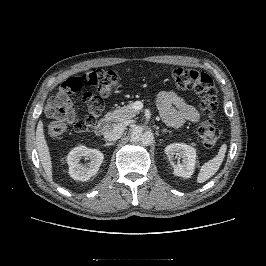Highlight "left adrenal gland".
<instances>
[{
  "label": "left adrenal gland",
  "instance_id": "obj_1",
  "mask_svg": "<svg viewBox=\"0 0 266 266\" xmlns=\"http://www.w3.org/2000/svg\"><path fill=\"white\" fill-rule=\"evenodd\" d=\"M162 132H163V133H164V132H169V133H171V131L166 130V129L162 130Z\"/></svg>",
  "mask_w": 266,
  "mask_h": 266
}]
</instances>
